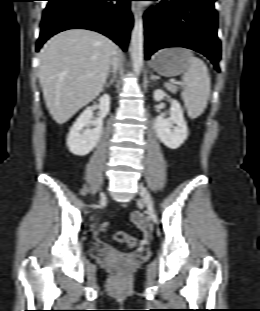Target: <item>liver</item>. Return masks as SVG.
Returning a JSON list of instances; mask_svg holds the SVG:
<instances>
[{"mask_svg":"<svg viewBox=\"0 0 260 311\" xmlns=\"http://www.w3.org/2000/svg\"><path fill=\"white\" fill-rule=\"evenodd\" d=\"M116 45L104 35L71 29L40 51L39 80L50 115L66 123L103 90Z\"/></svg>","mask_w":260,"mask_h":311,"instance_id":"1","label":"liver"}]
</instances>
